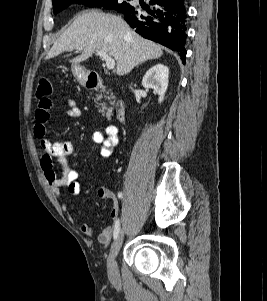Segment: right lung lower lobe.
Instances as JSON below:
<instances>
[{
  "mask_svg": "<svg viewBox=\"0 0 267 301\" xmlns=\"http://www.w3.org/2000/svg\"><path fill=\"white\" fill-rule=\"evenodd\" d=\"M150 6L128 5L119 11L136 32L144 38L177 51L185 63L187 15L185 0H151Z\"/></svg>",
  "mask_w": 267,
  "mask_h": 301,
  "instance_id": "98d812e1",
  "label": "right lung lower lobe"
}]
</instances>
